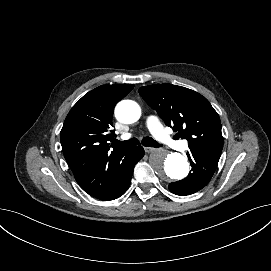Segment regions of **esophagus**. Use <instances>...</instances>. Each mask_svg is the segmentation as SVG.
<instances>
[{
  "instance_id": "obj_1",
  "label": "esophagus",
  "mask_w": 271,
  "mask_h": 271,
  "mask_svg": "<svg viewBox=\"0 0 271 271\" xmlns=\"http://www.w3.org/2000/svg\"><path fill=\"white\" fill-rule=\"evenodd\" d=\"M144 150L145 152L150 153L156 151L157 149L153 147H144Z\"/></svg>"
}]
</instances>
